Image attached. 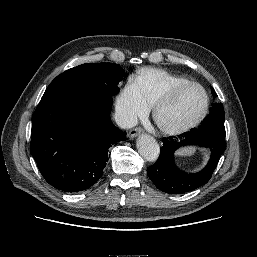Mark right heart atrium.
<instances>
[{"label":"right heart atrium","instance_id":"right-heart-atrium-1","mask_svg":"<svg viewBox=\"0 0 257 257\" xmlns=\"http://www.w3.org/2000/svg\"><path fill=\"white\" fill-rule=\"evenodd\" d=\"M116 110L124 124L132 125L149 112L150 106L136 83L130 80L117 95Z\"/></svg>","mask_w":257,"mask_h":257}]
</instances>
